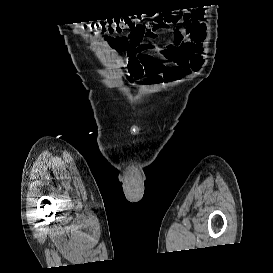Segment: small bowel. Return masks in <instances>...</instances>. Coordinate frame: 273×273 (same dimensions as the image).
<instances>
[{
  "label": "small bowel",
  "instance_id": "1",
  "mask_svg": "<svg viewBox=\"0 0 273 273\" xmlns=\"http://www.w3.org/2000/svg\"><path fill=\"white\" fill-rule=\"evenodd\" d=\"M162 18L151 21L160 22ZM181 23L184 29L175 26ZM160 31L171 34L163 45L156 42ZM206 22L201 13H185L181 16L170 15L168 21L159 28H151L146 39L139 45H132L128 36H106L104 42L115 53L123 54L121 64L126 68V81L133 85L145 76L148 84L154 85L162 80L174 81L192 71H197L203 64L199 52L201 43L206 39ZM160 60L171 62L165 66Z\"/></svg>",
  "mask_w": 273,
  "mask_h": 273
}]
</instances>
